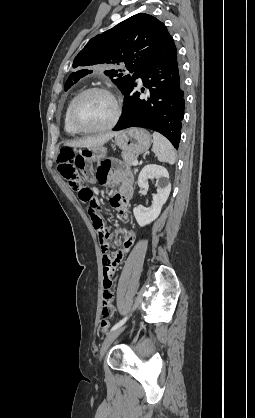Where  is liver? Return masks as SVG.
<instances>
[{
    "label": "liver",
    "mask_w": 255,
    "mask_h": 418,
    "mask_svg": "<svg viewBox=\"0 0 255 418\" xmlns=\"http://www.w3.org/2000/svg\"><path fill=\"white\" fill-rule=\"evenodd\" d=\"M117 133L109 132L103 135H99L96 137H88L84 139L69 141L65 143V146L69 147H80V148H94V147H103L105 143H107L111 138L116 136Z\"/></svg>",
    "instance_id": "liver-1"
}]
</instances>
